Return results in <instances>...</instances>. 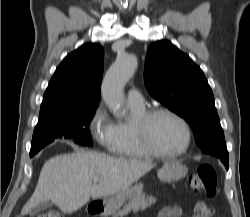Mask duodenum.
I'll use <instances>...</instances> for the list:
<instances>
[{
    "mask_svg": "<svg viewBox=\"0 0 250 217\" xmlns=\"http://www.w3.org/2000/svg\"><path fill=\"white\" fill-rule=\"evenodd\" d=\"M88 212L92 216L101 215L103 212V206L101 204H98V203H91L88 206Z\"/></svg>",
    "mask_w": 250,
    "mask_h": 217,
    "instance_id": "obj_1",
    "label": "duodenum"
}]
</instances>
